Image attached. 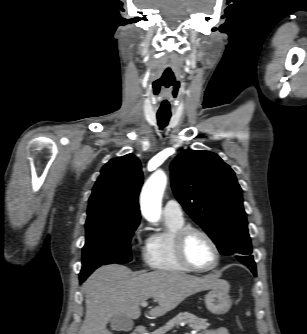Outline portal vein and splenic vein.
Instances as JSON below:
<instances>
[{
    "label": "portal vein and splenic vein",
    "instance_id": "18ae733b",
    "mask_svg": "<svg viewBox=\"0 0 307 334\" xmlns=\"http://www.w3.org/2000/svg\"><path fill=\"white\" fill-rule=\"evenodd\" d=\"M147 305H148V303L146 301H144V302L141 303L142 307H146Z\"/></svg>",
    "mask_w": 307,
    "mask_h": 334
}]
</instances>
